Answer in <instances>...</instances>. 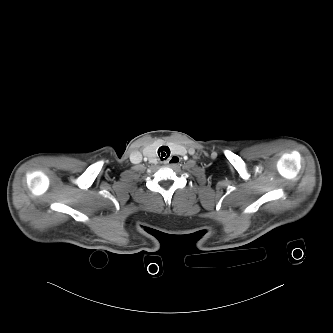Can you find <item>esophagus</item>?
Returning a JSON list of instances; mask_svg holds the SVG:
<instances>
[{"label":"esophagus","mask_w":333,"mask_h":333,"mask_svg":"<svg viewBox=\"0 0 333 333\" xmlns=\"http://www.w3.org/2000/svg\"><path fill=\"white\" fill-rule=\"evenodd\" d=\"M180 161H181V158H179L176 155H173L170 158H168L167 160H165L164 163L169 164V165H174V164H179Z\"/></svg>","instance_id":"esophagus-1"}]
</instances>
